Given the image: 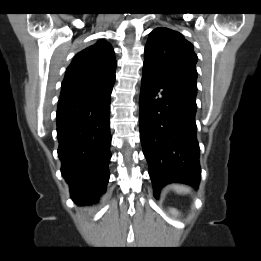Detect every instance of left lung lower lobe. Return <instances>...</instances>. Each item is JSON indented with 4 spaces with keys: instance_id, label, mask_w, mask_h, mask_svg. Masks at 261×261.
I'll return each mask as SVG.
<instances>
[{
    "instance_id": "1",
    "label": "left lung lower lobe",
    "mask_w": 261,
    "mask_h": 261,
    "mask_svg": "<svg viewBox=\"0 0 261 261\" xmlns=\"http://www.w3.org/2000/svg\"><path fill=\"white\" fill-rule=\"evenodd\" d=\"M196 95L187 83L143 66L139 127L156 198L172 182L199 184Z\"/></svg>"
}]
</instances>
